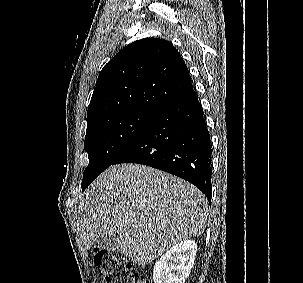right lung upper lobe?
Here are the masks:
<instances>
[{"label": "right lung upper lobe", "instance_id": "cb5924a9", "mask_svg": "<svg viewBox=\"0 0 303 283\" xmlns=\"http://www.w3.org/2000/svg\"><path fill=\"white\" fill-rule=\"evenodd\" d=\"M193 91L180 53L169 41L146 38L123 48L102 69L87 113V127L128 111L157 114Z\"/></svg>", "mask_w": 303, "mask_h": 283}]
</instances>
